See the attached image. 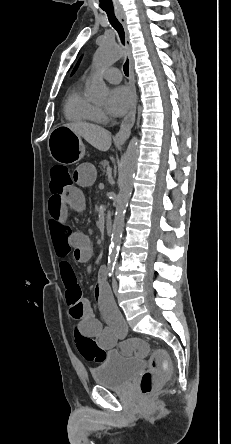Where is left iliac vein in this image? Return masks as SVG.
<instances>
[{
  "instance_id": "4c4485c4",
  "label": "left iliac vein",
  "mask_w": 231,
  "mask_h": 444,
  "mask_svg": "<svg viewBox=\"0 0 231 444\" xmlns=\"http://www.w3.org/2000/svg\"><path fill=\"white\" fill-rule=\"evenodd\" d=\"M112 288H113V291L116 293L118 290V283L115 279H113Z\"/></svg>"
}]
</instances>
